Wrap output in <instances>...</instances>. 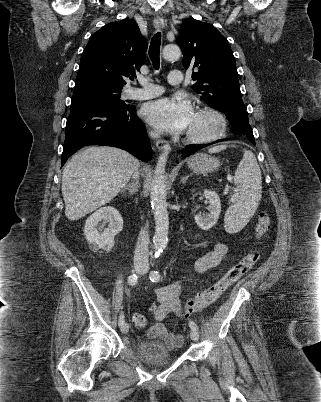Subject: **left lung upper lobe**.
Instances as JSON below:
<instances>
[{"label": "left lung upper lobe", "mask_w": 321, "mask_h": 402, "mask_svg": "<svg viewBox=\"0 0 321 402\" xmlns=\"http://www.w3.org/2000/svg\"><path fill=\"white\" fill-rule=\"evenodd\" d=\"M177 43L183 52L184 68L194 69L193 90L210 107L229 119H248L241 97L235 58L227 39L212 25L185 19ZM248 137V136H247Z\"/></svg>", "instance_id": "5c2ea615"}]
</instances>
